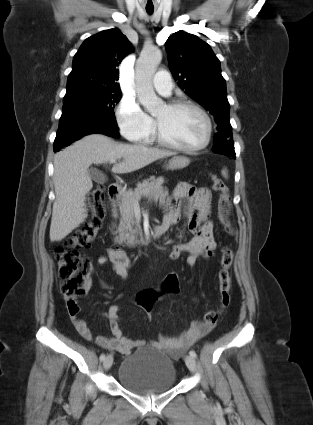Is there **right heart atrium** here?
<instances>
[{
  "label": "right heart atrium",
  "instance_id": "d8ad5b80",
  "mask_svg": "<svg viewBox=\"0 0 313 425\" xmlns=\"http://www.w3.org/2000/svg\"><path fill=\"white\" fill-rule=\"evenodd\" d=\"M116 120L122 135L132 142L147 141L153 133L152 119L133 98H122L116 110Z\"/></svg>",
  "mask_w": 313,
  "mask_h": 425
}]
</instances>
